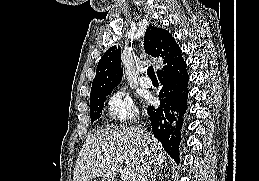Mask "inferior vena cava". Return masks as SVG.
Here are the masks:
<instances>
[{
    "instance_id": "obj_1",
    "label": "inferior vena cava",
    "mask_w": 259,
    "mask_h": 181,
    "mask_svg": "<svg viewBox=\"0 0 259 181\" xmlns=\"http://www.w3.org/2000/svg\"><path fill=\"white\" fill-rule=\"evenodd\" d=\"M145 164L141 167L140 172L137 176L136 181H148V176L151 171V163L148 161V155L145 158Z\"/></svg>"
}]
</instances>
